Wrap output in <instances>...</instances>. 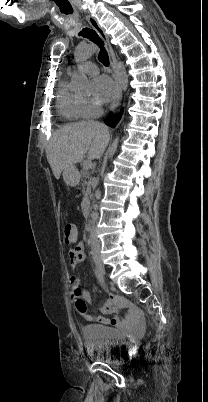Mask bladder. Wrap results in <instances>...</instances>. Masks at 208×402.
Listing matches in <instances>:
<instances>
[{
    "label": "bladder",
    "instance_id": "1",
    "mask_svg": "<svg viewBox=\"0 0 208 402\" xmlns=\"http://www.w3.org/2000/svg\"><path fill=\"white\" fill-rule=\"evenodd\" d=\"M82 336L87 352L107 363L114 362L125 341V337L106 324L84 325Z\"/></svg>",
    "mask_w": 208,
    "mask_h": 402
}]
</instances>
